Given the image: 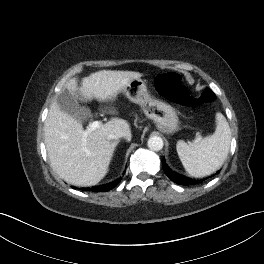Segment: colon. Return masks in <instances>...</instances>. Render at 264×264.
Here are the masks:
<instances>
[{"instance_id":"1","label":"colon","mask_w":264,"mask_h":264,"mask_svg":"<svg viewBox=\"0 0 264 264\" xmlns=\"http://www.w3.org/2000/svg\"><path fill=\"white\" fill-rule=\"evenodd\" d=\"M156 87L165 98L186 107L212 103L215 100V94L210 89L192 95L183 85L181 76L175 72L158 75Z\"/></svg>"}]
</instances>
